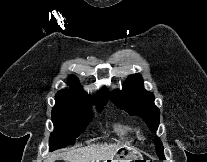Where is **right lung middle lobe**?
I'll list each match as a JSON object with an SVG mask.
<instances>
[{"mask_svg":"<svg viewBox=\"0 0 207 162\" xmlns=\"http://www.w3.org/2000/svg\"><path fill=\"white\" fill-rule=\"evenodd\" d=\"M107 100H98L102 108ZM90 101L56 96V104L52 110L54 132L50 137V150L73 144L87 124L91 121Z\"/></svg>","mask_w":207,"mask_h":162,"instance_id":"obj_1","label":"right lung middle lobe"}]
</instances>
